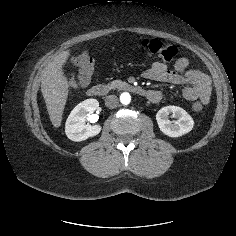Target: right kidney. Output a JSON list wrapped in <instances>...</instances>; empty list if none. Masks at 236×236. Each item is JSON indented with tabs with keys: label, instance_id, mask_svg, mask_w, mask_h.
I'll return each mask as SVG.
<instances>
[{
	"label": "right kidney",
	"instance_id": "1",
	"mask_svg": "<svg viewBox=\"0 0 236 236\" xmlns=\"http://www.w3.org/2000/svg\"><path fill=\"white\" fill-rule=\"evenodd\" d=\"M98 108L99 102L96 99H86L71 111L65 124V133L70 140L79 142L100 133V125L85 123L86 120H97L96 115H89V113H93Z\"/></svg>",
	"mask_w": 236,
	"mask_h": 236
}]
</instances>
